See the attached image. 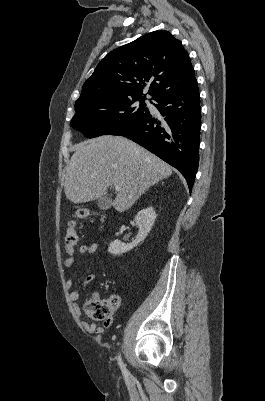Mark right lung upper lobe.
<instances>
[{
	"mask_svg": "<svg viewBox=\"0 0 265 401\" xmlns=\"http://www.w3.org/2000/svg\"><path fill=\"white\" fill-rule=\"evenodd\" d=\"M196 82L181 42L167 31H154L108 53L84 83L75 106L107 96L145 98L146 87L155 100Z\"/></svg>",
	"mask_w": 265,
	"mask_h": 401,
	"instance_id": "cb5924a9",
	"label": "right lung upper lobe"
}]
</instances>
